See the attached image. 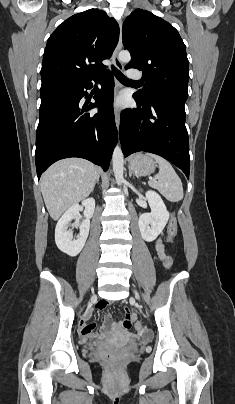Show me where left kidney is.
<instances>
[{
    "label": "left kidney",
    "instance_id": "5707ae66",
    "mask_svg": "<svg viewBox=\"0 0 235 404\" xmlns=\"http://www.w3.org/2000/svg\"><path fill=\"white\" fill-rule=\"evenodd\" d=\"M145 195L151 213L140 215L138 225L142 238L147 242H152L162 233L170 215L160 195L154 191H147Z\"/></svg>",
    "mask_w": 235,
    "mask_h": 404
}]
</instances>
